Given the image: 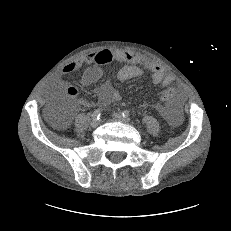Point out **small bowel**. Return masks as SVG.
Returning a JSON list of instances; mask_svg holds the SVG:
<instances>
[{
  "instance_id": "c3829d8e",
  "label": "small bowel",
  "mask_w": 231,
  "mask_h": 231,
  "mask_svg": "<svg viewBox=\"0 0 231 231\" xmlns=\"http://www.w3.org/2000/svg\"><path fill=\"white\" fill-rule=\"evenodd\" d=\"M112 61L125 63L116 74L117 79L122 82L141 77L146 72L150 73L153 84L161 87H166L175 80L172 75L166 73L162 66L148 61L147 58L141 55L123 50H101L91 52L65 65L62 72L64 74L74 73L84 64H87L88 67L83 72L80 82L83 86H89L101 78L102 66ZM53 85L54 89L57 91L65 90L66 94L71 98L77 96V88L74 86H66L60 79H56ZM97 96L98 103L101 106H106L121 99L117 90L109 83H105L97 89ZM79 104L83 106L88 105L87 102H80ZM157 109L172 126H176L180 122V113L176 102L170 101L166 106H158ZM66 123L67 121L63 120L60 123V127L64 126Z\"/></svg>"
}]
</instances>
